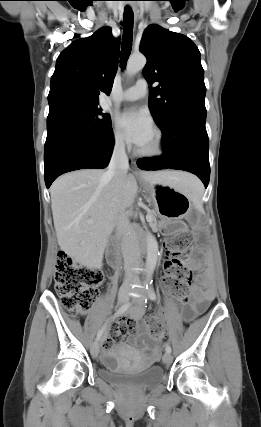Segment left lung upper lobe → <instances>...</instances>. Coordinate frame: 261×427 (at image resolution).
<instances>
[{"label": "left lung upper lobe", "mask_w": 261, "mask_h": 427, "mask_svg": "<svg viewBox=\"0 0 261 427\" xmlns=\"http://www.w3.org/2000/svg\"><path fill=\"white\" fill-rule=\"evenodd\" d=\"M140 51L147 58L145 79L149 84L160 83L150 89L148 102L159 127L179 108L205 109L204 70L191 39L151 24L143 33Z\"/></svg>", "instance_id": "1"}]
</instances>
